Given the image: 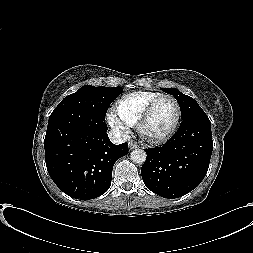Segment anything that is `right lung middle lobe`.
I'll list each match as a JSON object with an SVG mask.
<instances>
[{
	"label": "right lung middle lobe",
	"instance_id": "dd1d6c3e",
	"mask_svg": "<svg viewBox=\"0 0 253 253\" xmlns=\"http://www.w3.org/2000/svg\"><path fill=\"white\" fill-rule=\"evenodd\" d=\"M122 92V87L109 88L86 85L77 92L66 96L53 112L64 109H80L105 119L110 103Z\"/></svg>",
	"mask_w": 253,
	"mask_h": 253
}]
</instances>
